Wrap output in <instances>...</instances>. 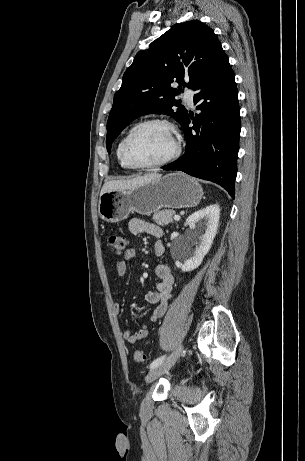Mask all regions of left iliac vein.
<instances>
[{"instance_id": "obj_1", "label": "left iliac vein", "mask_w": 305, "mask_h": 461, "mask_svg": "<svg viewBox=\"0 0 305 461\" xmlns=\"http://www.w3.org/2000/svg\"><path fill=\"white\" fill-rule=\"evenodd\" d=\"M183 350V345H180L176 350L167 358L166 361L158 365L157 367L151 369L146 376V382L150 383L160 377L162 374L167 372L177 361L181 352Z\"/></svg>"}]
</instances>
